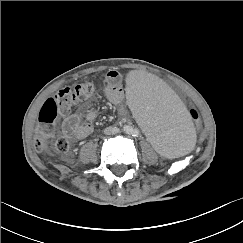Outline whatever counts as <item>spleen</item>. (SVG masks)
<instances>
[{
	"instance_id": "3e777b00",
	"label": "spleen",
	"mask_w": 243,
	"mask_h": 243,
	"mask_svg": "<svg viewBox=\"0 0 243 243\" xmlns=\"http://www.w3.org/2000/svg\"><path fill=\"white\" fill-rule=\"evenodd\" d=\"M126 103L153 149L170 159L186 155L194 128L178 95L154 72L132 74L124 87Z\"/></svg>"
}]
</instances>
